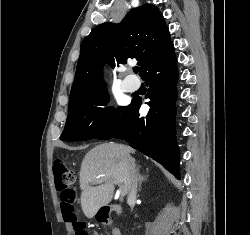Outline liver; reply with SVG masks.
<instances>
[{
  "mask_svg": "<svg viewBox=\"0 0 250 235\" xmlns=\"http://www.w3.org/2000/svg\"><path fill=\"white\" fill-rule=\"evenodd\" d=\"M135 151L125 145L104 143L92 148L84 157L80 169L81 206L87 218L108 205L113 197L114 184L129 192L130 168ZM135 165V164H134ZM99 184V186H94Z\"/></svg>",
  "mask_w": 250,
  "mask_h": 235,
  "instance_id": "6515ba94",
  "label": "liver"
}]
</instances>
